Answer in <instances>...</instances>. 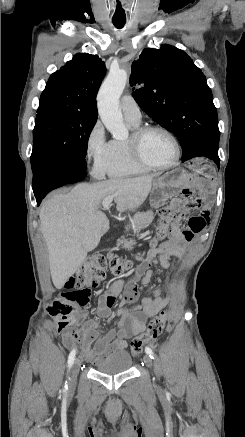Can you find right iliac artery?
<instances>
[{
    "label": "right iliac artery",
    "instance_id": "82829eb1",
    "mask_svg": "<svg viewBox=\"0 0 245 437\" xmlns=\"http://www.w3.org/2000/svg\"><path fill=\"white\" fill-rule=\"evenodd\" d=\"M75 355H76V350L74 349V350H72L70 352L69 357H68V367H69V369L71 368V366L74 363ZM67 390H68V384H67V381H66L65 386H64V392H66Z\"/></svg>",
    "mask_w": 245,
    "mask_h": 437
}]
</instances>
